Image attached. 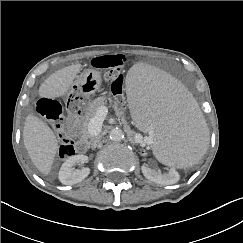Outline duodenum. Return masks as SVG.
<instances>
[{
    "label": "duodenum",
    "mask_w": 243,
    "mask_h": 243,
    "mask_svg": "<svg viewBox=\"0 0 243 243\" xmlns=\"http://www.w3.org/2000/svg\"><path fill=\"white\" fill-rule=\"evenodd\" d=\"M68 129L72 135H75L77 132L76 122L74 124H70L68 126ZM87 145H88V142L84 138L79 139L77 142V147L80 151H84L86 149Z\"/></svg>",
    "instance_id": "obj_1"
}]
</instances>
